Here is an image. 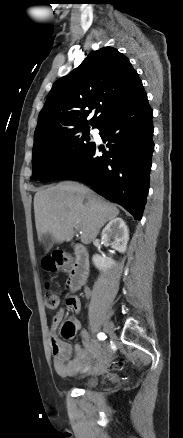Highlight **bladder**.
I'll use <instances>...</instances> for the list:
<instances>
[{
	"mask_svg": "<svg viewBox=\"0 0 183 438\" xmlns=\"http://www.w3.org/2000/svg\"><path fill=\"white\" fill-rule=\"evenodd\" d=\"M97 382H98V379L96 377H92V378L87 379L84 382V385L86 387H92V386H95L97 384Z\"/></svg>",
	"mask_w": 183,
	"mask_h": 438,
	"instance_id": "bladder-1",
	"label": "bladder"
}]
</instances>
